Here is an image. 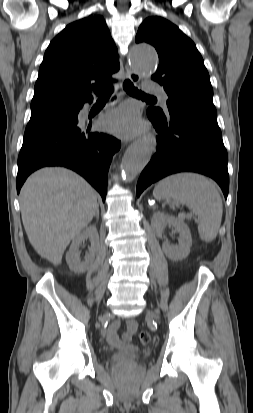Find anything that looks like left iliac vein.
<instances>
[{
	"label": "left iliac vein",
	"mask_w": 253,
	"mask_h": 413,
	"mask_svg": "<svg viewBox=\"0 0 253 413\" xmlns=\"http://www.w3.org/2000/svg\"><path fill=\"white\" fill-rule=\"evenodd\" d=\"M147 315L149 317L155 318V319H159V315L157 312L153 311V310H148L147 311Z\"/></svg>",
	"instance_id": "left-iliac-vein-1"
}]
</instances>
